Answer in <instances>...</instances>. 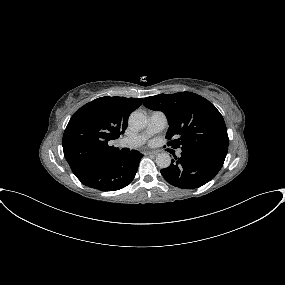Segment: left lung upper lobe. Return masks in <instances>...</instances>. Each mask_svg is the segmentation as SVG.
I'll return each mask as SVG.
<instances>
[{
	"label": "left lung upper lobe",
	"mask_w": 285,
	"mask_h": 285,
	"mask_svg": "<svg viewBox=\"0 0 285 285\" xmlns=\"http://www.w3.org/2000/svg\"><path fill=\"white\" fill-rule=\"evenodd\" d=\"M143 104L166 114L168 146L182 152H206L226 157L228 134L224 119L207 99L192 92L146 97Z\"/></svg>",
	"instance_id": "1"
}]
</instances>
